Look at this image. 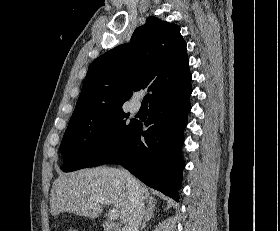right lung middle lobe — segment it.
I'll use <instances>...</instances> for the list:
<instances>
[{"label":"right lung middle lobe","instance_id":"obj_1","mask_svg":"<svg viewBox=\"0 0 280 231\" xmlns=\"http://www.w3.org/2000/svg\"><path fill=\"white\" fill-rule=\"evenodd\" d=\"M128 116L120 111L103 118L70 121L61 142V170L99 166L114 156L134 126L132 122L126 123Z\"/></svg>","mask_w":280,"mask_h":231}]
</instances>
